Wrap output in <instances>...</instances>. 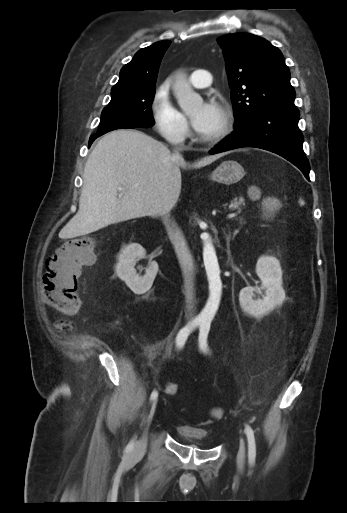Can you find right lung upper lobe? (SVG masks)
Returning a JSON list of instances; mask_svg holds the SVG:
<instances>
[{
  "instance_id": "cb5924a9",
  "label": "right lung upper lobe",
  "mask_w": 347,
  "mask_h": 513,
  "mask_svg": "<svg viewBox=\"0 0 347 513\" xmlns=\"http://www.w3.org/2000/svg\"><path fill=\"white\" fill-rule=\"evenodd\" d=\"M170 43V40H162L139 50L133 59L122 67L119 81L111 90L155 86L161 59Z\"/></svg>"
}]
</instances>
